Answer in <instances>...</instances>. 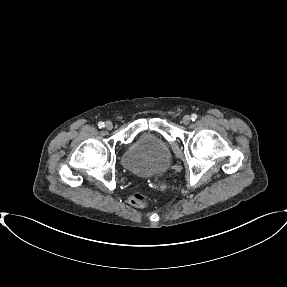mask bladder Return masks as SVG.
<instances>
[{"instance_id": "bladder-1", "label": "bladder", "mask_w": 287, "mask_h": 287, "mask_svg": "<svg viewBox=\"0 0 287 287\" xmlns=\"http://www.w3.org/2000/svg\"><path fill=\"white\" fill-rule=\"evenodd\" d=\"M170 154L165 142L156 134L144 133L129 147L123 165L130 171L147 176L167 170Z\"/></svg>"}]
</instances>
